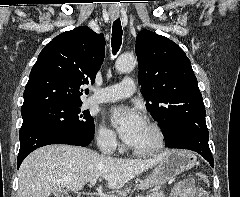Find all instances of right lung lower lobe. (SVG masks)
Returning a JSON list of instances; mask_svg holds the SVG:
<instances>
[{
	"label": "right lung lower lobe",
	"instance_id": "obj_1",
	"mask_svg": "<svg viewBox=\"0 0 240 197\" xmlns=\"http://www.w3.org/2000/svg\"><path fill=\"white\" fill-rule=\"evenodd\" d=\"M93 135L84 136L72 128L44 118H23L19 132L20 150L17 159L19 168L25 157L33 150L50 144L87 146Z\"/></svg>",
	"mask_w": 240,
	"mask_h": 197
}]
</instances>
